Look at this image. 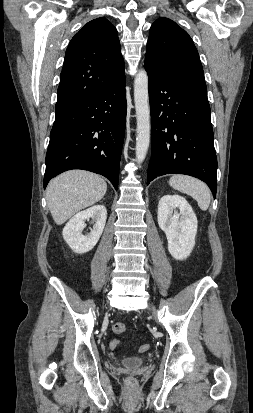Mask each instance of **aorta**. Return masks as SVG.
<instances>
[{"instance_id": "762f6f07", "label": "aorta", "mask_w": 253, "mask_h": 413, "mask_svg": "<svg viewBox=\"0 0 253 413\" xmlns=\"http://www.w3.org/2000/svg\"><path fill=\"white\" fill-rule=\"evenodd\" d=\"M134 102L137 120L136 162L142 163L150 144V107L148 96V75L140 70L134 79Z\"/></svg>"}]
</instances>
